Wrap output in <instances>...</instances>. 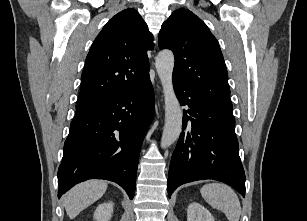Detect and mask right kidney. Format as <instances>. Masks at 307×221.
Wrapping results in <instances>:
<instances>
[{
	"instance_id": "right-kidney-1",
	"label": "right kidney",
	"mask_w": 307,
	"mask_h": 221,
	"mask_svg": "<svg viewBox=\"0 0 307 221\" xmlns=\"http://www.w3.org/2000/svg\"><path fill=\"white\" fill-rule=\"evenodd\" d=\"M113 213V203H103L100 204L95 212L94 219L95 221H109Z\"/></svg>"
}]
</instances>
